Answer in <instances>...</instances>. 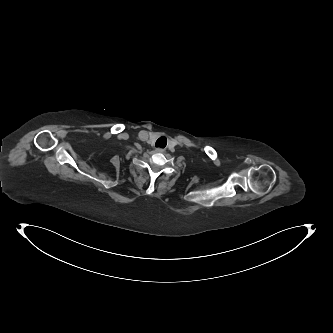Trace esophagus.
I'll use <instances>...</instances> for the list:
<instances>
[{"mask_svg": "<svg viewBox=\"0 0 333 333\" xmlns=\"http://www.w3.org/2000/svg\"><path fill=\"white\" fill-rule=\"evenodd\" d=\"M156 152L162 153V152H164V149L163 148H156Z\"/></svg>", "mask_w": 333, "mask_h": 333, "instance_id": "34e87169", "label": "esophagus"}]
</instances>
